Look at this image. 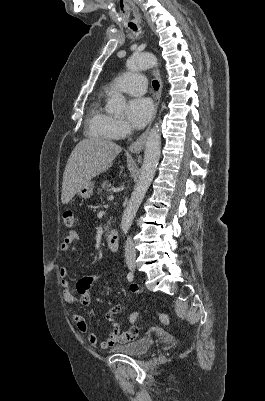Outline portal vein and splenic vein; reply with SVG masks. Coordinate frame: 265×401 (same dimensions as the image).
I'll return each mask as SVG.
<instances>
[{
  "label": "portal vein and splenic vein",
  "mask_w": 265,
  "mask_h": 401,
  "mask_svg": "<svg viewBox=\"0 0 265 401\" xmlns=\"http://www.w3.org/2000/svg\"><path fill=\"white\" fill-rule=\"evenodd\" d=\"M114 196H109V201H113Z\"/></svg>",
  "instance_id": "1"
}]
</instances>
